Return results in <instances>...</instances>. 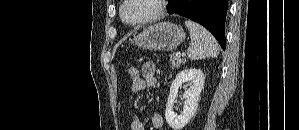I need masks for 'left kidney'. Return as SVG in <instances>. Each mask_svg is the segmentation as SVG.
<instances>
[{"label": "left kidney", "mask_w": 299, "mask_h": 130, "mask_svg": "<svg viewBox=\"0 0 299 130\" xmlns=\"http://www.w3.org/2000/svg\"><path fill=\"white\" fill-rule=\"evenodd\" d=\"M204 74L199 69H186L179 72L172 82L170 93L166 104L165 118L168 125L173 130H181L194 116L201 90L204 85ZM185 82H191L189 88L185 91L183 111L177 115L173 111L174 102L179 88Z\"/></svg>", "instance_id": "obj_1"}]
</instances>
